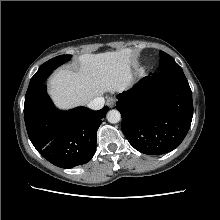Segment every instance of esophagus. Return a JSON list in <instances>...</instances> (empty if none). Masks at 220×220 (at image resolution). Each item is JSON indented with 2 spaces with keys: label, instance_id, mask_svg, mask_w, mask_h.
I'll return each mask as SVG.
<instances>
[{
  "label": "esophagus",
  "instance_id": "esophagus-1",
  "mask_svg": "<svg viewBox=\"0 0 220 220\" xmlns=\"http://www.w3.org/2000/svg\"><path fill=\"white\" fill-rule=\"evenodd\" d=\"M115 103H116V99L114 98H109L106 102V104L110 107V108H113L115 106Z\"/></svg>",
  "mask_w": 220,
  "mask_h": 220
}]
</instances>
